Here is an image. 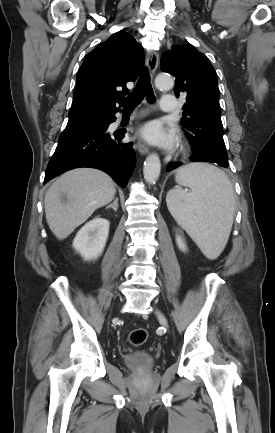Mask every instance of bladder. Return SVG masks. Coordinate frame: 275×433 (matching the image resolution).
<instances>
[{
	"instance_id": "1",
	"label": "bladder",
	"mask_w": 275,
	"mask_h": 433,
	"mask_svg": "<svg viewBox=\"0 0 275 433\" xmlns=\"http://www.w3.org/2000/svg\"><path fill=\"white\" fill-rule=\"evenodd\" d=\"M124 363L132 369H147L153 366L154 357L147 351H136L127 353L124 358Z\"/></svg>"
}]
</instances>
